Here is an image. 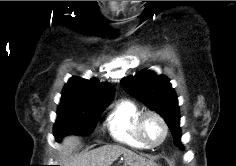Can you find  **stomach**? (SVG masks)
<instances>
[{"label": "stomach", "instance_id": "obj_1", "mask_svg": "<svg viewBox=\"0 0 236 166\" xmlns=\"http://www.w3.org/2000/svg\"><path fill=\"white\" fill-rule=\"evenodd\" d=\"M125 161H127V160H124V162H125ZM124 166H131V165H128V164H127V165H124ZM151 166H157V165L152 164Z\"/></svg>", "mask_w": 236, "mask_h": 166}]
</instances>
